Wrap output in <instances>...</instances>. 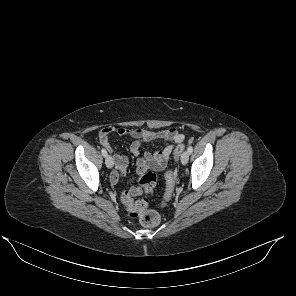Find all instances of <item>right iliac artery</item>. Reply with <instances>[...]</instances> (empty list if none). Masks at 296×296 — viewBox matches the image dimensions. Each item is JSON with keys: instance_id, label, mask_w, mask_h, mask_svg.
<instances>
[{"instance_id": "1", "label": "right iliac artery", "mask_w": 296, "mask_h": 296, "mask_svg": "<svg viewBox=\"0 0 296 296\" xmlns=\"http://www.w3.org/2000/svg\"><path fill=\"white\" fill-rule=\"evenodd\" d=\"M102 155L104 156V157H106L107 156V151L105 150V149H102Z\"/></svg>"}]
</instances>
